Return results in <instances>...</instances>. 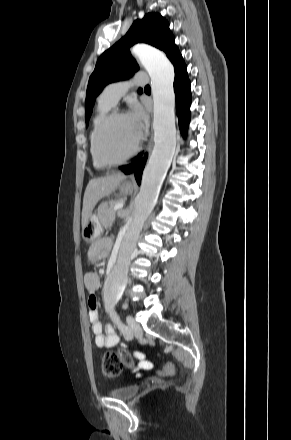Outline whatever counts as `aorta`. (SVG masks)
<instances>
[{"mask_svg": "<svg viewBox=\"0 0 291 440\" xmlns=\"http://www.w3.org/2000/svg\"><path fill=\"white\" fill-rule=\"evenodd\" d=\"M132 54L137 57L151 77L154 102V148L143 171L135 211L125 224L115 245L114 262L104 284V298L118 301L127 284L130 256L144 223L152 212L162 183L176 149L174 67L166 55L147 45H136Z\"/></svg>", "mask_w": 291, "mask_h": 440, "instance_id": "762f6f07", "label": "aorta"}]
</instances>
